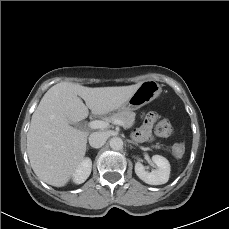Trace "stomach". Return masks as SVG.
Returning <instances> with one entry per match:
<instances>
[{"instance_id":"obj_1","label":"stomach","mask_w":229,"mask_h":229,"mask_svg":"<svg viewBox=\"0 0 229 229\" xmlns=\"http://www.w3.org/2000/svg\"><path fill=\"white\" fill-rule=\"evenodd\" d=\"M161 92L162 88L155 80L143 81L129 100L118 108V111L137 110L156 99Z\"/></svg>"}]
</instances>
